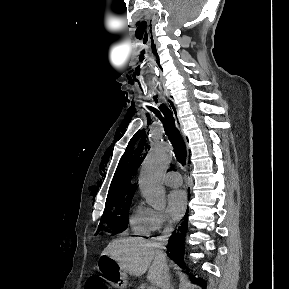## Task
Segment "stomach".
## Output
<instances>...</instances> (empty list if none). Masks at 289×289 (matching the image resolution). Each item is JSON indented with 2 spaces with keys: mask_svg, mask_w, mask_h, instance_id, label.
Here are the masks:
<instances>
[{
  "mask_svg": "<svg viewBox=\"0 0 289 289\" xmlns=\"http://www.w3.org/2000/svg\"><path fill=\"white\" fill-rule=\"evenodd\" d=\"M118 266L112 257L103 255L99 258L96 268L111 280L112 285L125 289L128 284L127 273Z\"/></svg>",
  "mask_w": 289,
  "mask_h": 289,
  "instance_id": "obj_1",
  "label": "stomach"
}]
</instances>
